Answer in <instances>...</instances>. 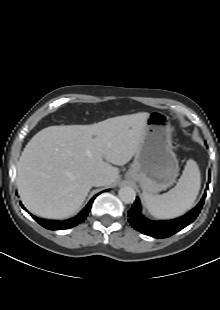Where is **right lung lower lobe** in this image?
Here are the masks:
<instances>
[{
    "instance_id": "right-lung-lower-lobe-1",
    "label": "right lung lower lobe",
    "mask_w": 220,
    "mask_h": 310,
    "mask_svg": "<svg viewBox=\"0 0 220 310\" xmlns=\"http://www.w3.org/2000/svg\"><path fill=\"white\" fill-rule=\"evenodd\" d=\"M100 193L96 194L90 201L89 203L84 207V209L75 217L71 218V219H68V220H65V221H55V220H45V219H42V218H37L33 215H31L41 226H43L44 228L46 229H49V230H62V229H68V228H71V227H74L76 226L77 224L79 223H82L91 207H92V202L94 201V199L96 198V196H98ZM21 204V203H20ZM22 205V204H21ZM23 207V205H22ZM24 208V207H23ZM25 209V208H24Z\"/></svg>"
}]
</instances>
